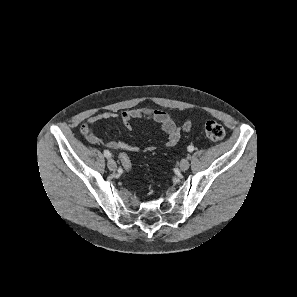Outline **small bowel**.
<instances>
[{"instance_id":"c3829d8e","label":"small bowel","mask_w":297,"mask_h":297,"mask_svg":"<svg viewBox=\"0 0 297 297\" xmlns=\"http://www.w3.org/2000/svg\"><path fill=\"white\" fill-rule=\"evenodd\" d=\"M118 117V114L112 111H101L98 113H95L89 117V119L86 121L85 126L87 128L86 138L91 144L95 145H103L109 149L114 150H122V151H128V152H138L141 150L140 146L128 144L121 141H115V140H102L101 138L97 137L93 131L92 128L94 124L101 120H110V119H116ZM120 120L122 124L125 126L126 129L131 130L132 129V120L134 119H144L149 121H154L158 123L163 130V132L166 134V145L169 147L175 146L180 137L182 132H190L192 129V122L191 121H185L182 126H178L172 115L157 109L147 108V107H138L130 110H126L122 112L120 115ZM155 150V147L153 145H148L145 148H143V152L150 153Z\"/></svg>"}]
</instances>
